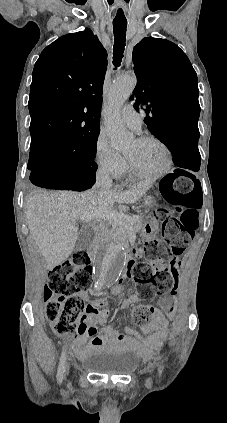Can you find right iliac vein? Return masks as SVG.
Wrapping results in <instances>:
<instances>
[{
	"label": "right iliac vein",
	"instance_id": "63e3f726",
	"mask_svg": "<svg viewBox=\"0 0 227 423\" xmlns=\"http://www.w3.org/2000/svg\"><path fill=\"white\" fill-rule=\"evenodd\" d=\"M69 369H70V363L68 361L66 366H65V373H68Z\"/></svg>",
	"mask_w": 227,
	"mask_h": 423
}]
</instances>
